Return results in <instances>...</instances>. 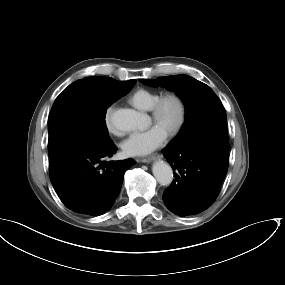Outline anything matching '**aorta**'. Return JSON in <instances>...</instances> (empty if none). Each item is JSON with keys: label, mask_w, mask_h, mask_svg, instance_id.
Listing matches in <instances>:
<instances>
[{"label": "aorta", "mask_w": 285, "mask_h": 285, "mask_svg": "<svg viewBox=\"0 0 285 285\" xmlns=\"http://www.w3.org/2000/svg\"><path fill=\"white\" fill-rule=\"evenodd\" d=\"M112 125L121 131H131L143 127L144 117L132 109L120 108L115 110L110 117ZM152 172L159 184L168 186L173 180V170L164 161H157L153 164Z\"/></svg>", "instance_id": "762f6f07"}]
</instances>
